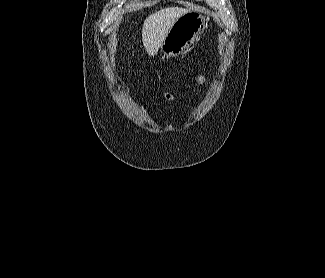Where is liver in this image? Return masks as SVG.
<instances>
[{
	"mask_svg": "<svg viewBox=\"0 0 325 278\" xmlns=\"http://www.w3.org/2000/svg\"><path fill=\"white\" fill-rule=\"evenodd\" d=\"M190 10L182 7H168L150 14L142 27L143 45L150 56L158 53L168 31L175 21Z\"/></svg>",
	"mask_w": 325,
	"mask_h": 278,
	"instance_id": "1",
	"label": "liver"
}]
</instances>
